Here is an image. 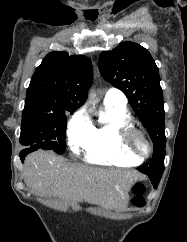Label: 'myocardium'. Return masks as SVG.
Instances as JSON below:
<instances>
[{
  "mask_svg": "<svg viewBox=\"0 0 187 242\" xmlns=\"http://www.w3.org/2000/svg\"><path fill=\"white\" fill-rule=\"evenodd\" d=\"M136 136L141 137L147 144L148 150L144 155L137 154L132 147V139ZM118 142L124 153H126L129 156L137 158L140 162L148 158L152 153V143L150 142L146 134L141 129L131 124H126L119 128Z\"/></svg>",
  "mask_w": 187,
  "mask_h": 242,
  "instance_id": "f54148a6",
  "label": "myocardium"
}]
</instances>
